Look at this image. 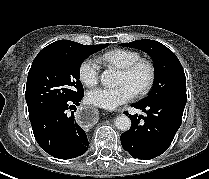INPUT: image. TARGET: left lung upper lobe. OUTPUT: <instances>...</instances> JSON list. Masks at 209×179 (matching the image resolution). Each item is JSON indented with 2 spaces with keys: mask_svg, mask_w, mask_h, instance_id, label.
<instances>
[{
  "mask_svg": "<svg viewBox=\"0 0 209 179\" xmlns=\"http://www.w3.org/2000/svg\"><path fill=\"white\" fill-rule=\"evenodd\" d=\"M120 45L148 53L155 63L156 74L153 89L140 102H152L170 95L186 94V77L182 65L176 55L166 46L153 40H136Z\"/></svg>",
  "mask_w": 209,
  "mask_h": 179,
  "instance_id": "1",
  "label": "left lung upper lobe"
}]
</instances>
